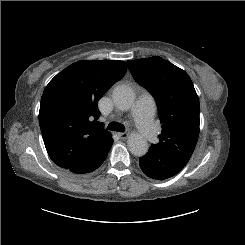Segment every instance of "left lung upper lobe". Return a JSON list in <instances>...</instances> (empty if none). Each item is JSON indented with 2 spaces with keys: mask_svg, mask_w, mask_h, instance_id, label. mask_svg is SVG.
<instances>
[{
  "mask_svg": "<svg viewBox=\"0 0 245 245\" xmlns=\"http://www.w3.org/2000/svg\"><path fill=\"white\" fill-rule=\"evenodd\" d=\"M134 79L154 97L162 132L161 150L186 165L199 135V99L188 74L155 56L126 62Z\"/></svg>",
  "mask_w": 245,
  "mask_h": 245,
  "instance_id": "obj_1",
  "label": "left lung upper lobe"
}]
</instances>
